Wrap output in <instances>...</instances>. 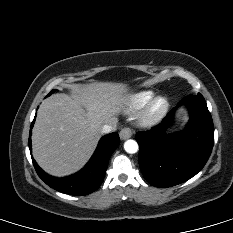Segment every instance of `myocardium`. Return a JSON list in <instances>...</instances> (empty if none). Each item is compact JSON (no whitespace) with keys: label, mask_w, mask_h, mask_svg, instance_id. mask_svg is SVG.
<instances>
[{"label":"myocardium","mask_w":233,"mask_h":233,"mask_svg":"<svg viewBox=\"0 0 233 233\" xmlns=\"http://www.w3.org/2000/svg\"><path fill=\"white\" fill-rule=\"evenodd\" d=\"M169 102L166 97H153L142 109L139 121L142 125L150 126L158 123L167 113Z\"/></svg>","instance_id":"f54148a6"}]
</instances>
